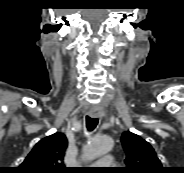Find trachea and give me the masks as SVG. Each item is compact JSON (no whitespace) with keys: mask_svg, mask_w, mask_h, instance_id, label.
Instances as JSON below:
<instances>
[{"mask_svg":"<svg viewBox=\"0 0 184 173\" xmlns=\"http://www.w3.org/2000/svg\"><path fill=\"white\" fill-rule=\"evenodd\" d=\"M98 124V118L86 117V126L88 131H93Z\"/></svg>","mask_w":184,"mask_h":173,"instance_id":"1","label":"trachea"}]
</instances>
